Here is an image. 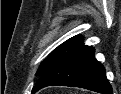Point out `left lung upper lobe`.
<instances>
[{
    "label": "left lung upper lobe",
    "mask_w": 121,
    "mask_h": 94,
    "mask_svg": "<svg viewBox=\"0 0 121 94\" xmlns=\"http://www.w3.org/2000/svg\"><path fill=\"white\" fill-rule=\"evenodd\" d=\"M83 44V37L82 36H75L64 43H62L60 46H58L43 63L40 65L36 76H42L46 71H48L50 68H52L57 62H59L61 59H63L65 56L71 54L75 50L82 47Z\"/></svg>",
    "instance_id": "5c2ea615"
}]
</instances>
